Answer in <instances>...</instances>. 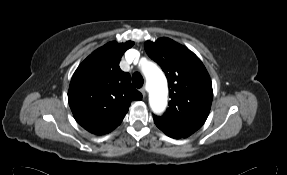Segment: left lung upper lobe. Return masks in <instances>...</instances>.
<instances>
[{"label":"left lung upper lobe","mask_w":287,"mask_h":175,"mask_svg":"<svg viewBox=\"0 0 287 175\" xmlns=\"http://www.w3.org/2000/svg\"><path fill=\"white\" fill-rule=\"evenodd\" d=\"M145 50L165 72L171 98L166 113L154 115V122L163 132L186 138L208 117L213 99L210 76L193 52L169 38L147 41Z\"/></svg>","instance_id":"left-lung-upper-lobe-1"}]
</instances>
